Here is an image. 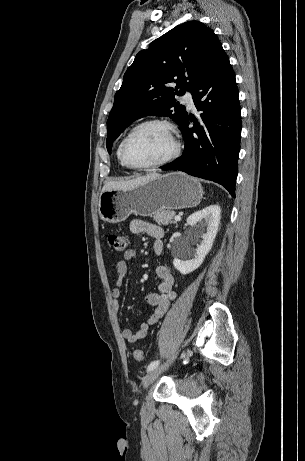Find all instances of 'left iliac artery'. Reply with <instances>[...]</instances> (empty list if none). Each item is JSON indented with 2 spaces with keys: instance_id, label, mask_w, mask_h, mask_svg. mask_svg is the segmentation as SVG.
Here are the masks:
<instances>
[{
  "instance_id": "44dca946",
  "label": "left iliac artery",
  "mask_w": 305,
  "mask_h": 461,
  "mask_svg": "<svg viewBox=\"0 0 305 461\" xmlns=\"http://www.w3.org/2000/svg\"><path fill=\"white\" fill-rule=\"evenodd\" d=\"M159 363H160L159 360H155V361L151 362V363L148 365L147 370L150 371V370L156 368V367L159 365Z\"/></svg>"
}]
</instances>
